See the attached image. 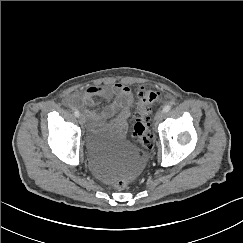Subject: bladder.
<instances>
[{"mask_svg":"<svg viewBox=\"0 0 243 243\" xmlns=\"http://www.w3.org/2000/svg\"><path fill=\"white\" fill-rule=\"evenodd\" d=\"M87 143L91 150L100 155L113 152L117 156L118 176L135 175L143 166L138 148L125 139L111 119H102L92 124L87 132Z\"/></svg>","mask_w":243,"mask_h":243,"instance_id":"31cf9c89","label":"bladder"}]
</instances>
